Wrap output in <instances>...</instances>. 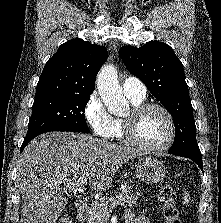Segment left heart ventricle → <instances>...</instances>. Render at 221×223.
Masks as SVG:
<instances>
[{
	"instance_id": "obj_1",
	"label": "left heart ventricle",
	"mask_w": 221,
	"mask_h": 223,
	"mask_svg": "<svg viewBox=\"0 0 221 223\" xmlns=\"http://www.w3.org/2000/svg\"><path fill=\"white\" fill-rule=\"evenodd\" d=\"M135 135L138 141L151 146L163 144L169 136V124L166 116L157 109L144 112L136 122Z\"/></svg>"
}]
</instances>
